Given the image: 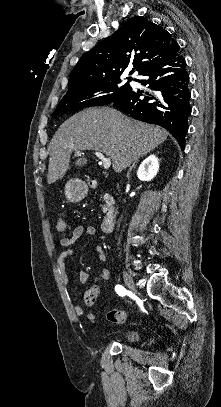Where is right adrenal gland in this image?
Segmentation results:
<instances>
[{"label":"right adrenal gland","mask_w":221,"mask_h":407,"mask_svg":"<svg viewBox=\"0 0 221 407\" xmlns=\"http://www.w3.org/2000/svg\"><path fill=\"white\" fill-rule=\"evenodd\" d=\"M138 161H139V158L136 159V160L133 162V164L130 166V168H129L128 172H127V178H128V179H129V177H130V172H131L132 168L135 166V164H136Z\"/></svg>","instance_id":"1"}]
</instances>
